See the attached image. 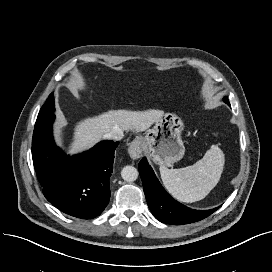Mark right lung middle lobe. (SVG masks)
<instances>
[{"label": "right lung middle lobe", "instance_id": "dd1d6c3e", "mask_svg": "<svg viewBox=\"0 0 272 272\" xmlns=\"http://www.w3.org/2000/svg\"><path fill=\"white\" fill-rule=\"evenodd\" d=\"M55 108H54V97H53V93L50 94V96L47 98L45 104L42 106L38 117H42L48 114H52L54 113Z\"/></svg>", "mask_w": 272, "mask_h": 272}]
</instances>
